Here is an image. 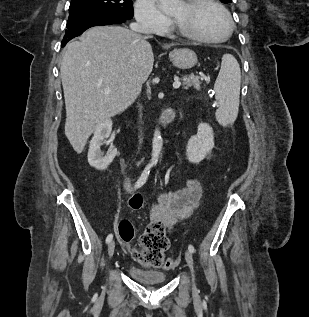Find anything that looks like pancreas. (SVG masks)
I'll use <instances>...</instances> for the list:
<instances>
[{
  "label": "pancreas",
  "instance_id": "1",
  "mask_svg": "<svg viewBox=\"0 0 309 317\" xmlns=\"http://www.w3.org/2000/svg\"><path fill=\"white\" fill-rule=\"evenodd\" d=\"M200 80H203V78L195 76L194 74L186 75L182 78V86L184 89L193 86L196 90H200Z\"/></svg>",
  "mask_w": 309,
  "mask_h": 317
}]
</instances>
